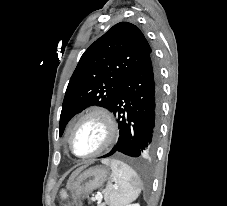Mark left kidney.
<instances>
[{
	"label": "left kidney",
	"mask_w": 227,
	"mask_h": 206,
	"mask_svg": "<svg viewBox=\"0 0 227 206\" xmlns=\"http://www.w3.org/2000/svg\"><path fill=\"white\" fill-rule=\"evenodd\" d=\"M127 206H140V205L138 203H135V204L127 205Z\"/></svg>",
	"instance_id": "1"
}]
</instances>
